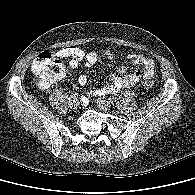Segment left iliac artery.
<instances>
[{
  "label": "left iliac artery",
  "instance_id": "1",
  "mask_svg": "<svg viewBox=\"0 0 195 195\" xmlns=\"http://www.w3.org/2000/svg\"><path fill=\"white\" fill-rule=\"evenodd\" d=\"M108 102L113 103L114 101H113V99L110 98V99H108Z\"/></svg>",
  "mask_w": 195,
  "mask_h": 195
}]
</instances>
